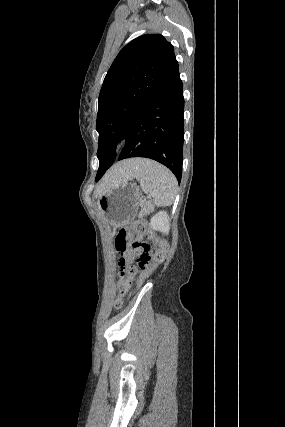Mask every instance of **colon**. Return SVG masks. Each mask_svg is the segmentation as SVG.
<instances>
[{"mask_svg":"<svg viewBox=\"0 0 285 427\" xmlns=\"http://www.w3.org/2000/svg\"><path fill=\"white\" fill-rule=\"evenodd\" d=\"M129 231L133 234L134 241L130 243V238L126 234L118 235L115 238V248L120 254L126 253L131 248L138 253V259L136 264L128 265L125 268L126 276L119 285V293L114 303L116 308L122 306L123 297L129 290L132 277L139 272L140 281H143L165 261L169 252L167 242L157 238L154 232L147 228L144 221H133L129 226Z\"/></svg>","mask_w":285,"mask_h":427,"instance_id":"colon-1","label":"colon"}]
</instances>
